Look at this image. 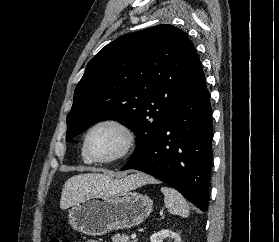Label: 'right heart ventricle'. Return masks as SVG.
<instances>
[{"mask_svg": "<svg viewBox=\"0 0 279 242\" xmlns=\"http://www.w3.org/2000/svg\"><path fill=\"white\" fill-rule=\"evenodd\" d=\"M81 158H82V160H83L84 163H86V164H90V163H91L90 160H89V159L86 157V155L84 154L83 149H82V151H81Z\"/></svg>", "mask_w": 279, "mask_h": 242, "instance_id": "right-heart-ventricle-1", "label": "right heart ventricle"}]
</instances>
